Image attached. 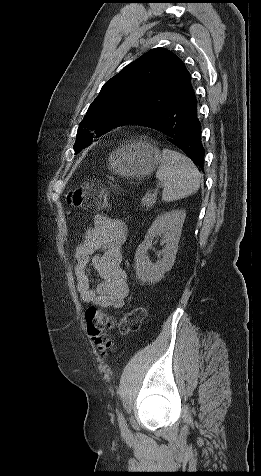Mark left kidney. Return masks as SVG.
<instances>
[{
	"mask_svg": "<svg viewBox=\"0 0 261 476\" xmlns=\"http://www.w3.org/2000/svg\"><path fill=\"white\" fill-rule=\"evenodd\" d=\"M185 217L184 210L166 212L159 215L148 229L144 241L135 253L136 276L143 284L159 282L174 265ZM156 237H161V242L166 245L160 252L162 258L152 263L148 257V249L152 247Z\"/></svg>",
	"mask_w": 261,
	"mask_h": 476,
	"instance_id": "left-kidney-1",
	"label": "left kidney"
}]
</instances>
